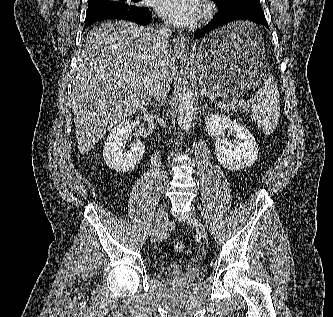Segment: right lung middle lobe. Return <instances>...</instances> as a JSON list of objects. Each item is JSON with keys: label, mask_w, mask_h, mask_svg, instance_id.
I'll list each match as a JSON object with an SVG mask.
<instances>
[{"label": "right lung middle lobe", "mask_w": 333, "mask_h": 317, "mask_svg": "<svg viewBox=\"0 0 333 317\" xmlns=\"http://www.w3.org/2000/svg\"><path fill=\"white\" fill-rule=\"evenodd\" d=\"M140 0H89L87 15L104 11L127 12L144 10Z\"/></svg>", "instance_id": "right-lung-middle-lobe-1"}]
</instances>
